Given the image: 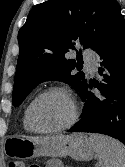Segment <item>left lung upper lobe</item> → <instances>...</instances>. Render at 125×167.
Segmentation results:
<instances>
[{
  "instance_id": "5c2ea615",
  "label": "left lung upper lobe",
  "mask_w": 125,
  "mask_h": 167,
  "mask_svg": "<svg viewBox=\"0 0 125 167\" xmlns=\"http://www.w3.org/2000/svg\"><path fill=\"white\" fill-rule=\"evenodd\" d=\"M116 0H48L30 11L18 33L20 53L12 93L14 106H19L39 83L60 80L69 83L80 95L87 86L77 61L65 54L75 49L80 40L84 49L97 50L120 16Z\"/></svg>"
}]
</instances>
